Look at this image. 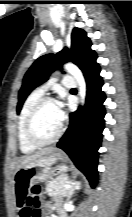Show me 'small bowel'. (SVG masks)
<instances>
[{
	"instance_id": "c3829d8e",
	"label": "small bowel",
	"mask_w": 132,
	"mask_h": 217,
	"mask_svg": "<svg viewBox=\"0 0 132 217\" xmlns=\"http://www.w3.org/2000/svg\"><path fill=\"white\" fill-rule=\"evenodd\" d=\"M27 191L23 190H17L16 192V205L17 208L19 209V217H31V210L26 204V197H27ZM61 206V200L56 199L52 202H46L42 206V210L44 212H47L48 210L52 208H59ZM49 217V216H46ZM58 217H66L64 212L61 211L60 215Z\"/></svg>"
}]
</instances>
